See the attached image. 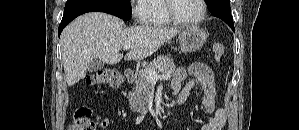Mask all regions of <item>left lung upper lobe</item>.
<instances>
[{"mask_svg": "<svg viewBox=\"0 0 299 130\" xmlns=\"http://www.w3.org/2000/svg\"><path fill=\"white\" fill-rule=\"evenodd\" d=\"M208 8L221 12L223 15L231 14L229 0H205Z\"/></svg>", "mask_w": 299, "mask_h": 130, "instance_id": "1", "label": "left lung upper lobe"}]
</instances>
